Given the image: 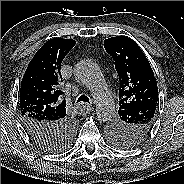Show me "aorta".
<instances>
[{
  "label": "aorta",
  "mask_w": 184,
  "mask_h": 184,
  "mask_svg": "<svg viewBox=\"0 0 184 184\" xmlns=\"http://www.w3.org/2000/svg\"><path fill=\"white\" fill-rule=\"evenodd\" d=\"M74 75L92 93L98 119L110 120L116 112L115 102L99 66L88 59L80 60L74 67Z\"/></svg>",
  "instance_id": "obj_1"
}]
</instances>
